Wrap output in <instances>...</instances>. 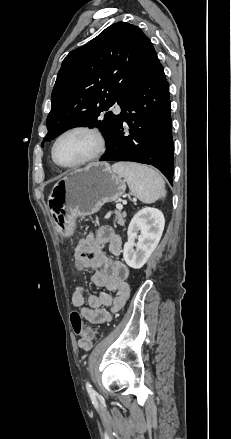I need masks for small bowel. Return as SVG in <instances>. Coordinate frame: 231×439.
<instances>
[{
  "label": "small bowel",
  "mask_w": 231,
  "mask_h": 439,
  "mask_svg": "<svg viewBox=\"0 0 231 439\" xmlns=\"http://www.w3.org/2000/svg\"><path fill=\"white\" fill-rule=\"evenodd\" d=\"M106 246L114 258L106 255ZM122 252L121 237L110 226L100 227L95 235H88L75 248V258L83 257L86 269H95L91 282L101 289L98 293L86 295L85 284L77 283L72 293V305L91 323L111 321L130 296L127 283L129 268L120 259ZM78 346L88 351L92 347V341L81 338Z\"/></svg>",
  "instance_id": "small-bowel-1"
}]
</instances>
